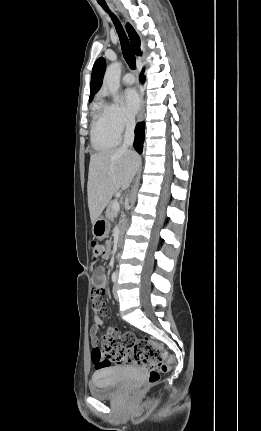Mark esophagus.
I'll list each match as a JSON object with an SVG mask.
<instances>
[{"label": "esophagus", "instance_id": "1", "mask_svg": "<svg viewBox=\"0 0 261 431\" xmlns=\"http://www.w3.org/2000/svg\"><path fill=\"white\" fill-rule=\"evenodd\" d=\"M140 103H141V107H140V112L138 115V121L141 122L145 116V106H144V99H143V91H140Z\"/></svg>", "mask_w": 261, "mask_h": 431}]
</instances>
